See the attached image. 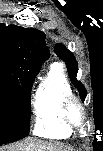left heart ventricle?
<instances>
[{"label":"left heart ventricle","instance_id":"left-heart-ventricle-1","mask_svg":"<svg viewBox=\"0 0 103 151\" xmlns=\"http://www.w3.org/2000/svg\"><path fill=\"white\" fill-rule=\"evenodd\" d=\"M72 117H73V119L76 120V121L80 120L81 114H80V112H79L78 109H76V108H73V109H72Z\"/></svg>","mask_w":103,"mask_h":151}]
</instances>
